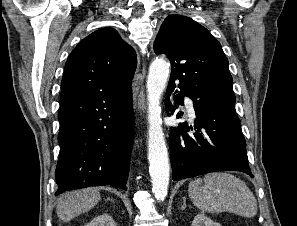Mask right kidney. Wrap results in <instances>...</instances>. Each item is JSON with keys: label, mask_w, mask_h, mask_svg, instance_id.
<instances>
[{"label": "right kidney", "mask_w": 297, "mask_h": 226, "mask_svg": "<svg viewBox=\"0 0 297 226\" xmlns=\"http://www.w3.org/2000/svg\"><path fill=\"white\" fill-rule=\"evenodd\" d=\"M85 226H116L113 218L108 214H102L95 217L91 222L87 223Z\"/></svg>", "instance_id": "ca27d5eb"}]
</instances>
